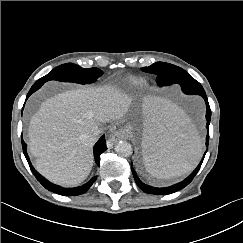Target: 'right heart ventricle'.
Listing matches in <instances>:
<instances>
[{"label": "right heart ventricle", "mask_w": 243, "mask_h": 243, "mask_svg": "<svg viewBox=\"0 0 243 243\" xmlns=\"http://www.w3.org/2000/svg\"><path fill=\"white\" fill-rule=\"evenodd\" d=\"M129 84H130L131 87L140 88L143 85V81L139 80V79L132 78V79L129 80Z\"/></svg>", "instance_id": "obj_1"}]
</instances>
